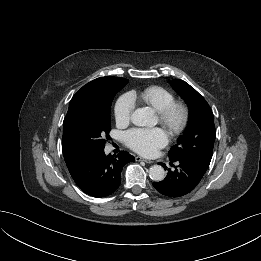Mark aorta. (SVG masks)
I'll list each match as a JSON object with an SVG mask.
<instances>
[{
    "label": "aorta",
    "mask_w": 261,
    "mask_h": 261,
    "mask_svg": "<svg viewBox=\"0 0 261 261\" xmlns=\"http://www.w3.org/2000/svg\"><path fill=\"white\" fill-rule=\"evenodd\" d=\"M131 121L136 126L153 125L154 111L149 107L138 108L132 113ZM149 176L153 181H162L165 178V170L160 165H153L149 169Z\"/></svg>",
    "instance_id": "762f6f07"
}]
</instances>
